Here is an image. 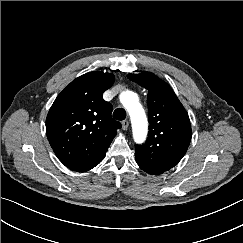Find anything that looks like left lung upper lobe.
Returning a JSON list of instances; mask_svg holds the SVG:
<instances>
[{"label":"left lung upper lobe","instance_id":"1","mask_svg":"<svg viewBox=\"0 0 243 243\" xmlns=\"http://www.w3.org/2000/svg\"><path fill=\"white\" fill-rule=\"evenodd\" d=\"M128 78L148 90L149 134L145 144L136 145V162L149 174H162L177 165L188 149L189 116L171 87L153 73Z\"/></svg>","mask_w":243,"mask_h":243}]
</instances>
